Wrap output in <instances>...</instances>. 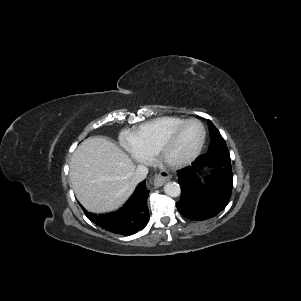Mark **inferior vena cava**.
Returning <instances> with one entry per match:
<instances>
[{"label": "inferior vena cava", "mask_w": 301, "mask_h": 301, "mask_svg": "<svg viewBox=\"0 0 301 301\" xmlns=\"http://www.w3.org/2000/svg\"><path fill=\"white\" fill-rule=\"evenodd\" d=\"M147 174H148V168L144 165H138L132 177V182L137 184L143 181L146 178Z\"/></svg>", "instance_id": "obj_1"}]
</instances>
